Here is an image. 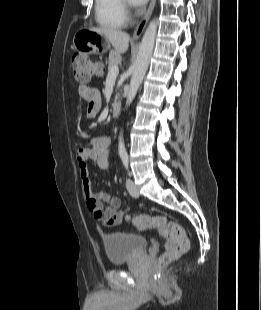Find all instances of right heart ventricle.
I'll return each mask as SVG.
<instances>
[{
  "label": "right heart ventricle",
  "mask_w": 261,
  "mask_h": 310,
  "mask_svg": "<svg viewBox=\"0 0 261 310\" xmlns=\"http://www.w3.org/2000/svg\"><path fill=\"white\" fill-rule=\"evenodd\" d=\"M95 20L105 29H119L127 24V15L121 0H95Z\"/></svg>",
  "instance_id": "right-heart-ventricle-1"
}]
</instances>
